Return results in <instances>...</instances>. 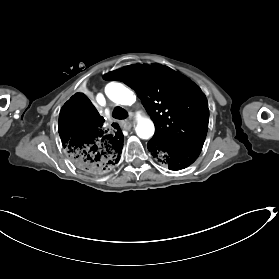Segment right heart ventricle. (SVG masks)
I'll use <instances>...</instances> for the list:
<instances>
[{"instance_id":"e07e8e85","label":"right heart ventricle","mask_w":279,"mask_h":279,"mask_svg":"<svg viewBox=\"0 0 279 279\" xmlns=\"http://www.w3.org/2000/svg\"><path fill=\"white\" fill-rule=\"evenodd\" d=\"M90 63H92V65L90 66V69L87 72L88 77H92V76L96 75L97 72L99 71V69L103 65L102 60L88 59V60L83 61V65H89ZM108 86H113L118 90L117 96L115 98H113V101L115 103H117L118 105H121V106L126 105L127 101L125 99V96H128L129 100L132 97L131 92L121 83L111 82L107 85V87Z\"/></svg>"}]
</instances>
